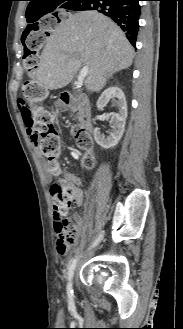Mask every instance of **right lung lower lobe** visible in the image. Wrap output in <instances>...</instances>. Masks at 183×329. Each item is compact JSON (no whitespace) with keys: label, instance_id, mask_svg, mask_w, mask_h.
Here are the masks:
<instances>
[{"label":"right lung lower lobe","instance_id":"98d812e1","mask_svg":"<svg viewBox=\"0 0 183 329\" xmlns=\"http://www.w3.org/2000/svg\"><path fill=\"white\" fill-rule=\"evenodd\" d=\"M140 0H75L68 10H95L116 22L135 47L141 14Z\"/></svg>","mask_w":183,"mask_h":329}]
</instances>
